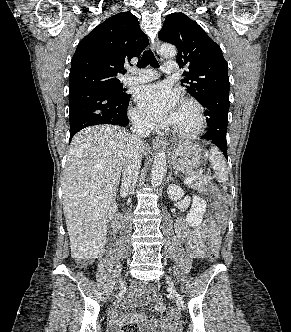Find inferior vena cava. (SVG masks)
Returning a JSON list of instances; mask_svg holds the SVG:
<instances>
[{
    "label": "inferior vena cava",
    "mask_w": 291,
    "mask_h": 332,
    "mask_svg": "<svg viewBox=\"0 0 291 332\" xmlns=\"http://www.w3.org/2000/svg\"><path fill=\"white\" fill-rule=\"evenodd\" d=\"M152 128L153 124L147 119L142 117L132 119V136L125 156L122 176V192L124 194L133 190L137 182L141 164L142 138L148 137Z\"/></svg>",
    "instance_id": "602c4592"
}]
</instances>
